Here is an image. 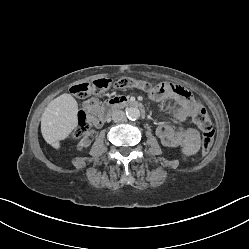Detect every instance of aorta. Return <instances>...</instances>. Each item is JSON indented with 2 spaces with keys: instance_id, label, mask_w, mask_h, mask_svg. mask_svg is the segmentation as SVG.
Segmentation results:
<instances>
[{
  "instance_id": "762f6f07",
  "label": "aorta",
  "mask_w": 249,
  "mask_h": 249,
  "mask_svg": "<svg viewBox=\"0 0 249 249\" xmlns=\"http://www.w3.org/2000/svg\"><path fill=\"white\" fill-rule=\"evenodd\" d=\"M126 116L130 120H136L140 117V111L137 107H129L126 109Z\"/></svg>"
}]
</instances>
